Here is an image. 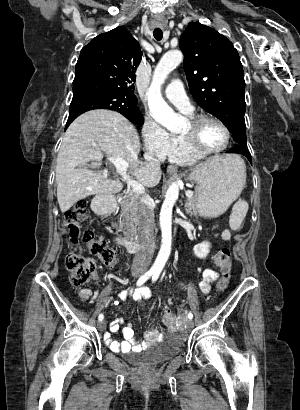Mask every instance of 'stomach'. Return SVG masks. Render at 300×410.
Listing matches in <instances>:
<instances>
[{"mask_svg":"<svg viewBox=\"0 0 300 410\" xmlns=\"http://www.w3.org/2000/svg\"><path fill=\"white\" fill-rule=\"evenodd\" d=\"M243 163L234 155L232 160L199 165L191 172L188 178L197 184L195 200L203 216H220L239 196L246 182L241 170Z\"/></svg>","mask_w":300,"mask_h":410,"instance_id":"0dacf381","label":"stomach"}]
</instances>
